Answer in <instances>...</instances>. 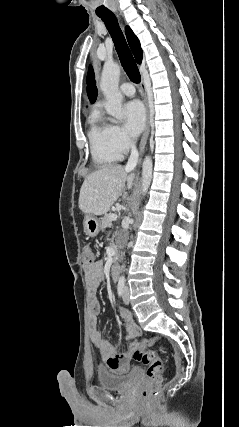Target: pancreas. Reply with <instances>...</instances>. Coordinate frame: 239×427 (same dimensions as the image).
Segmentation results:
<instances>
[{
	"label": "pancreas",
	"instance_id": "obj_1",
	"mask_svg": "<svg viewBox=\"0 0 239 427\" xmlns=\"http://www.w3.org/2000/svg\"><path fill=\"white\" fill-rule=\"evenodd\" d=\"M111 220H110V214H106L103 218H102V225L101 228H108L111 226Z\"/></svg>",
	"mask_w": 239,
	"mask_h": 427
}]
</instances>
